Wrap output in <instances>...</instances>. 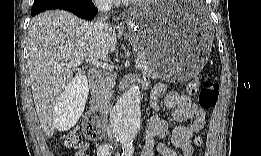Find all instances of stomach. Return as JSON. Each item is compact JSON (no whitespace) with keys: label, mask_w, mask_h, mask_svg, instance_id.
I'll return each instance as SVG.
<instances>
[{"label":"stomach","mask_w":261,"mask_h":156,"mask_svg":"<svg viewBox=\"0 0 261 156\" xmlns=\"http://www.w3.org/2000/svg\"><path fill=\"white\" fill-rule=\"evenodd\" d=\"M134 47L155 67L157 76L171 82L194 77L210 55L212 35L192 21L183 2H152L134 10L128 20Z\"/></svg>","instance_id":"stomach-1"}]
</instances>
